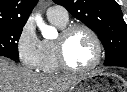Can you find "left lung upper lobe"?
<instances>
[{
    "label": "left lung upper lobe",
    "instance_id": "5c2ea615",
    "mask_svg": "<svg viewBox=\"0 0 127 92\" xmlns=\"http://www.w3.org/2000/svg\"><path fill=\"white\" fill-rule=\"evenodd\" d=\"M91 28L105 49V61L127 54V25L115 0H53Z\"/></svg>",
    "mask_w": 127,
    "mask_h": 92
}]
</instances>
